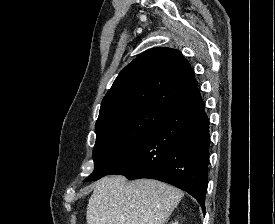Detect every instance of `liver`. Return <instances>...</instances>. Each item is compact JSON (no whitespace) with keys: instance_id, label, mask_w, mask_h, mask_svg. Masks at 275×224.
Listing matches in <instances>:
<instances>
[{"instance_id":"obj_1","label":"liver","mask_w":275,"mask_h":224,"mask_svg":"<svg viewBox=\"0 0 275 224\" xmlns=\"http://www.w3.org/2000/svg\"><path fill=\"white\" fill-rule=\"evenodd\" d=\"M184 193L166 183L104 177L89 199L87 224H164Z\"/></svg>"}]
</instances>
